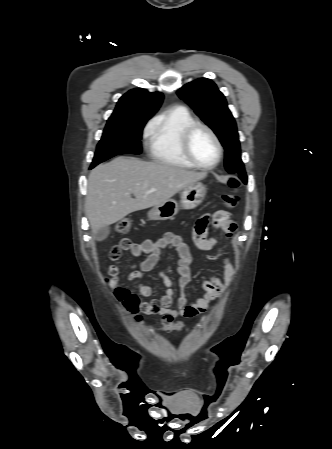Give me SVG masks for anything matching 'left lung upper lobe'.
Returning a JSON list of instances; mask_svg holds the SVG:
<instances>
[{
	"label": "left lung upper lobe",
	"instance_id": "5c2ea615",
	"mask_svg": "<svg viewBox=\"0 0 332 449\" xmlns=\"http://www.w3.org/2000/svg\"><path fill=\"white\" fill-rule=\"evenodd\" d=\"M177 94L218 136L225 149L226 170L238 174L247 183L236 123L216 84L210 79L200 78L184 85Z\"/></svg>",
	"mask_w": 332,
	"mask_h": 449
}]
</instances>
